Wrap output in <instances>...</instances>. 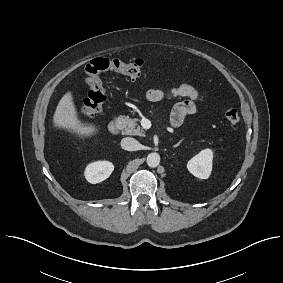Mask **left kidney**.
I'll return each instance as SVG.
<instances>
[{
    "label": "left kidney",
    "instance_id": "obj_1",
    "mask_svg": "<svg viewBox=\"0 0 283 283\" xmlns=\"http://www.w3.org/2000/svg\"><path fill=\"white\" fill-rule=\"evenodd\" d=\"M213 152L211 149H204L194 156L187 163L191 174L197 178L207 179L212 171Z\"/></svg>",
    "mask_w": 283,
    "mask_h": 283
}]
</instances>
